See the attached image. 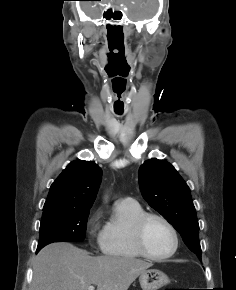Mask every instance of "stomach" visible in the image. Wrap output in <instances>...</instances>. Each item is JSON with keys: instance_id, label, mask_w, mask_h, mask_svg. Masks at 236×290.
<instances>
[{"instance_id": "stomach-1", "label": "stomach", "mask_w": 236, "mask_h": 290, "mask_svg": "<svg viewBox=\"0 0 236 290\" xmlns=\"http://www.w3.org/2000/svg\"><path fill=\"white\" fill-rule=\"evenodd\" d=\"M139 283L143 290H158L169 283V278L160 270L149 269L140 274Z\"/></svg>"}]
</instances>
